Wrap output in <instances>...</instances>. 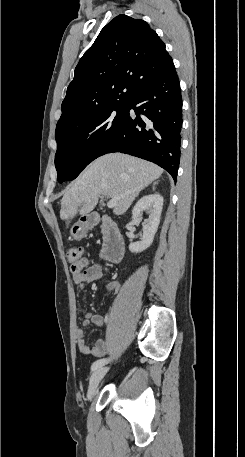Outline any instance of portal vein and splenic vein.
I'll list each match as a JSON object with an SVG mask.
<instances>
[{
    "label": "portal vein and splenic vein",
    "instance_id": "obj_1",
    "mask_svg": "<svg viewBox=\"0 0 245 457\" xmlns=\"http://www.w3.org/2000/svg\"><path fill=\"white\" fill-rule=\"evenodd\" d=\"M118 200L117 198H111V200H109V202H107V206H109V208H112V206H116Z\"/></svg>",
    "mask_w": 245,
    "mask_h": 457
}]
</instances>
